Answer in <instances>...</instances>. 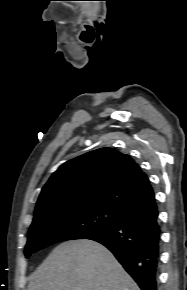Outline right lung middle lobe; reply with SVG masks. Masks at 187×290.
Listing matches in <instances>:
<instances>
[{"instance_id": "obj_1", "label": "right lung middle lobe", "mask_w": 187, "mask_h": 290, "mask_svg": "<svg viewBox=\"0 0 187 290\" xmlns=\"http://www.w3.org/2000/svg\"><path fill=\"white\" fill-rule=\"evenodd\" d=\"M124 217L113 208L92 205L59 211L33 221L25 247V256L52 244L83 239L94 233L112 228Z\"/></svg>"}]
</instances>
